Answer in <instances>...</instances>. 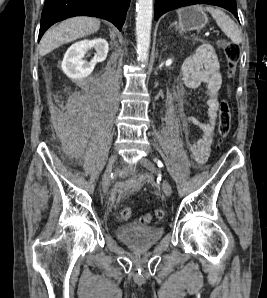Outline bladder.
<instances>
[{
    "mask_svg": "<svg viewBox=\"0 0 267 298\" xmlns=\"http://www.w3.org/2000/svg\"><path fill=\"white\" fill-rule=\"evenodd\" d=\"M164 229L159 226H120L116 236L122 242L136 250H146L154 246L163 236Z\"/></svg>",
    "mask_w": 267,
    "mask_h": 298,
    "instance_id": "1",
    "label": "bladder"
}]
</instances>
